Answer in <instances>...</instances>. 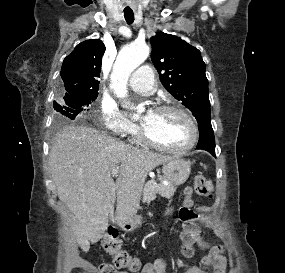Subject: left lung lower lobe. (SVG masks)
Segmentation results:
<instances>
[{
	"instance_id": "left-lung-lower-lobe-1",
	"label": "left lung lower lobe",
	"mask_w": 285,
	"mask_h": 273,
	"mask_svg": "<svg viewBox=\"0 0 285 273\" xmlns=\"http://www.w3.org/2000/svg\"><path fill=\"white\" fill-rule=\"evenodd\" d=\"M200 137L197 149H203L215 155V138L211 126V119H205L198 122Z\"/></svg>"
}]
</instances>
